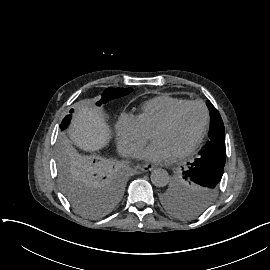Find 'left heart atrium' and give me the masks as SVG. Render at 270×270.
<instances>
[{"instance_id": "39dd6f15", "label": "left heart atrium", "mask_w": 270, "mask_h": 270, "mask_svg": "<svg viewBox=\"0 0 270 270\" xmlns=\"http://www.w3.org/2000/svg\"><path fill=\"white\" fill-rule=\"evenodd\" d=\"M177 157L169 144L161 140L152 141L140 158L151 164H170Z\"/></svg>"}]
</instances>
